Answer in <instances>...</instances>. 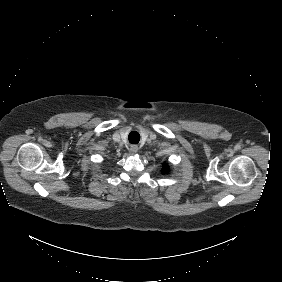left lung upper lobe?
Returning a JSON list of instances; mask_svg holds the SVG:
<instances>
[{
	"mask_svg": "<svg viewBox=\"0 0 282 282\" xmlns=\"http://www.w3.org/2000/svg\"><path fill=\"white\" fill-rule=\"evenodd\" d=\"M169 172V166L168 164H163V168H162V173L163 174H167Z\"/></svg>",
	"mask_w": 282,
	"mask_h": 282,
	"instance_id": "left-lung-upper-lobe-1",
	"label": "left lung upper lobe"
}]
</instances>
